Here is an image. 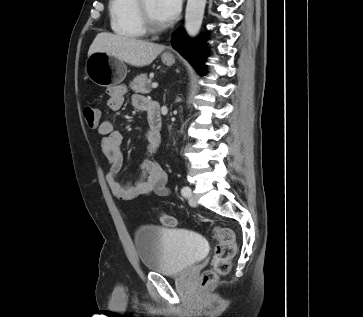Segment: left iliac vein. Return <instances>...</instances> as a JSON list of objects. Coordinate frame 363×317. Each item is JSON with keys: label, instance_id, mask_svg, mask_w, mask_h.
<instances>
[{"label": "left iliac vein", "instance_id": "obj_1", "mask_svg": "<svg viewBox=\"0 0 363 317\" xmlns=\"http://www.w3.org/2000/svg\"><path fill=\"white\" fill-rule=\"evenodd\" d=\"M189 204H190V206H192V207L197 206V201H196L195 197L193 196V194H192V191H191V190H190V196H189Z\"/></svg>", "mask_w": 363, "mask_h": 317}]
</instances>
